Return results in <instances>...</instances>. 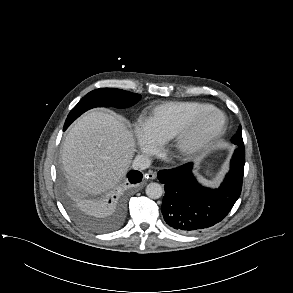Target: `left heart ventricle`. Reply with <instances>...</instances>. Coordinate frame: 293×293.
I'll list each match as a JSON object with an SVG mask.
<instances>
[{"label": "left heart ventricle", "instance_id": "1", "mask_svg": "<svg viewBox=\"0 0 293 293\" xmlns=\"http://www.w3.org/2000/svg\"><path fill=\"white\" fill-rule=\"evenodd\" d=\"M220 117L216 113H209L199 125L197 130L198 135H204L214 130L219 124Z\"/></svg>", "mask_w": 293, "mask_h": 293}]
</instances>
